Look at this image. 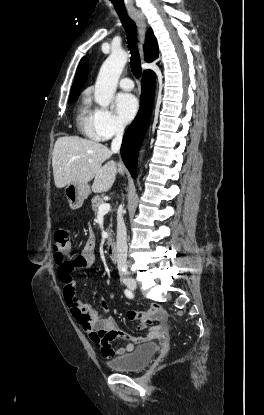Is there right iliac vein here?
Listing matches in <instances>:
<instances>
[{
    "mask_svg": "<svg viewBox=\"0 0 264 415\" xmlns=\"http://www.w3.org/2000/svg\"><path fill=\"white\" fill-rule=\"evenodd\" d=\"M125 284H126V286L128 288H130L132 290H135L137 288V284H136L135 280H131V279L130 280H126L125 281Z\"/></svg>",
    "mask_w": 264,
    "mask_h": 415,
    "instance_id": "right-iliac-vein-1",
    "label": "right iliac vein"
}]
</instances>
